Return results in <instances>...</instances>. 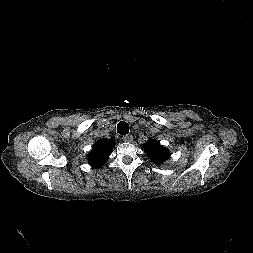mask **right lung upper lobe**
<instances>
[{"label": "right lung upper lobe", "instance_id": "obj_1", "mask_svg": "<svg viewBox=\"0 0 253 253\" xmlns=\"http://www.w3.org/2000/svg\"><path fill=\"white\" fill-rule=\"evenodd\" d=\"M115 145L113 140L100 139L93 147L88 155V161L93 168H99L107 161L112 149Z\"/></svg>", "mask_w": 253, "mask_h": 253}]
</instances>
